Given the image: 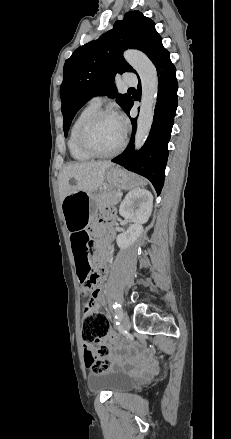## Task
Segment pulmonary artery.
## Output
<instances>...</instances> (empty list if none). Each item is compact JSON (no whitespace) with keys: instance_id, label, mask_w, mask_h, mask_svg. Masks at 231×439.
I'll return each mask as SVG.
<instances>
[{"instance_id":"e3ab8cb5","label":"pulmonary artery","mask_w":231,"mask_h":439,"mask_svg":"<svg viewBox=\"0 0 231 439\" xmlns=\"http://www.w3.org/2000/svg\"><path fill=\"white\" fill-rule=\"evenodd\" d=\"M123 82L125 85L134 86L137 84V78L132 73L127 72V73H124V75H123ZM90 103L99 106L102 103V98L99 96L93 97L91 99Z\"/></svg>"}]
</instances>
